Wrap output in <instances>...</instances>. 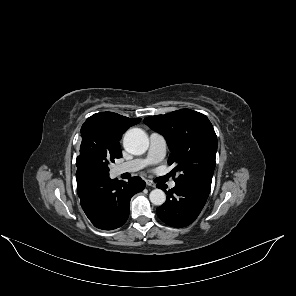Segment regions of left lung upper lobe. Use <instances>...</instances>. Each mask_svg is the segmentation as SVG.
I'll use <instances>...</instances> for the list:
<instances>
[{
    "instance_id": "left-lung-upper-lobe-1",
    "label": "left lung upper lobe",
    "mask_w": 296,
    "mask_h": 296,
    "mask_svg": "<svg viewBox=\"0 0 296 296\" xmlns=\"http://www.w3.org/2000/svg\"><path fill=\"white\" fill-rule=\"evenodd\" d=\"M144 122L162 134L171 150L169 164L180 172L176 184H211L215 168L217 136L202 113L182 109L166 115L150 116Z\"/></svg>"
}]
</instances>
